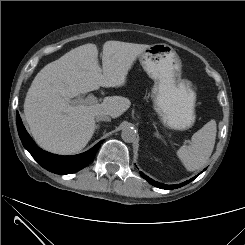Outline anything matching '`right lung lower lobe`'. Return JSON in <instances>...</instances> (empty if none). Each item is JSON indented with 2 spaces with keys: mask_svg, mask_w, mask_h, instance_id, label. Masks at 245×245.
<instances>
[{
  "mask_svg": "<svg viewBox=\"0 0 245 245\" xmlns=\"http://www.w3.org/2000/svg\"><path fill=\"white\" fill-rule=\"evenodd\" d=\"M17 129L25 149L45 169L56 174H70L86 167L93 159L103 140L89 151L75 156H60L40 149L27 133L19 113H17Z\"/></svg>",
  "mask_w": 245,
  "mask_h": 245,
  "instance_id": "98d812e1",
  "label": "right lung lower lobe"
}]
</instances>
